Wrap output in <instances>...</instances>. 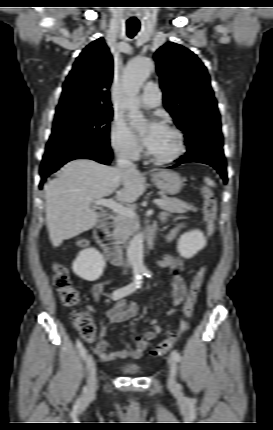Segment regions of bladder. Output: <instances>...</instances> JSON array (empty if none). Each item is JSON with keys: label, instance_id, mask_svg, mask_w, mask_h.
Here are the masks:
<instances>
[{"label": "bladder", "instance_id": "bladder-1", "mask_svg": "<svg viewBox=\"0 0 273 430\" xmlns=\"http://www.w3.org/2000/svg\"><path fill=\"white\" fill-rule=\"evenodd\" d=\"M124 372L129 375H136L139 373V367L135 364H131L124 368Z\"/></svg>", "mask_w": 273, "mask_h": 430}]
</instances>
